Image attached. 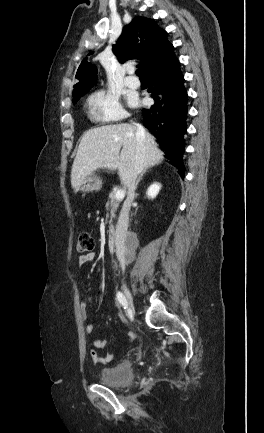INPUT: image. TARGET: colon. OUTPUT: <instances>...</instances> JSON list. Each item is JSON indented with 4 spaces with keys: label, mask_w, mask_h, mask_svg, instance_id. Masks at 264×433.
Returning a JSON list of instances; mask_svg holds the SVG:
<instances>
[{
    "label": "colon",
    "mask_w": 264,
    "mask_h": 433,
    "mask_svg": "<svg viewBox=\"0 0 264 433\" xmlns=\"http://www.w3.org/2000/svg\"><path fill=\"white\" fill-rule=\"evenodd\" d=\"M94 240L88 232H81L77 237L76 252L79 254L91 253L94 249Z\"/></svg>",
    "instance_id": "5ec220e1"
}]
</instances>
